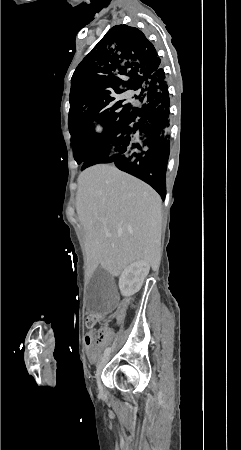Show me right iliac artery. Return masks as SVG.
I'll return each instance as SVG.
<instances>
[{
  "instance_id": "right-iliac-artery-1",
  "label": "right iliac artery",
  "mask_w": 241,
  "mask_h": 450,
  "mask_svg": "<svg viewBox=\"0 0 241 450\" xmlns=\"http://www.w3.org/2000/svg\"><path fill=\"white\" fill-rule=\"evenodd\" d=\"M110 352H111V348L110 347L106 348V350L104 351V357L108 356L110 354Z\"/></svg>"
}]
</instances>
